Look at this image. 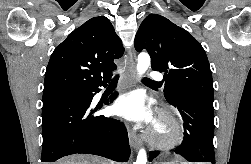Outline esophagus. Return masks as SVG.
<instances>
[{"instance_id": "obj_1", "label": "esophagus", "mask_w": 251, "mask_h": 164, "mask_svg": "<svg viewBox=\"0 0 251 164\" xmlns=\"http://www.w3.org/2000/svg\"><path fill=\"white\" fill-rule=\"evenodd\" d=\"M136 61H137L136 53L132 49L129 52V57H128L126 67H125L126 76H127L128 81H129L130 84H133L135 82V65H136ZM128 136H129V142H130L131 147L134 150H137L139 145H140L139 136L135 132L131 131L130 129L128 131Z\"/></svg>"}]
</instances>
